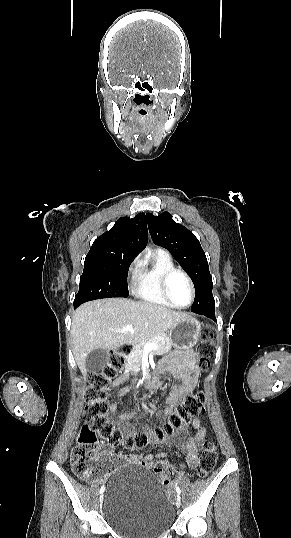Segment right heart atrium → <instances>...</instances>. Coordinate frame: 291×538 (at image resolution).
Instances as JSON below:
<instances>
[{
  "instance_id": "obj_1",
  "label": "right heart atrium",
  "mask_w": 291,
  "mask_h": 538,
  "mask_svg": "<svg viewBox=\"0 0 291 538\" xmlns=\"http://www.w3.org/2000/svg\"><path fill=\"white\" fill-rule=\"evenodd\" d=\"M141 259L139 256L135 257L129 264L128 266V275L131 279L132 282H135L136 281V277H137V274H138V271L140 269V266H141Z\"/></svg>"
}]
</instances>
